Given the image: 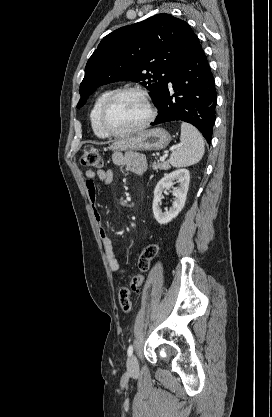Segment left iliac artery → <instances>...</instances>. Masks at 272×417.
Masks as SVG:
<instances>
[{
	"label": "left iliac artery",
	"instance_id": "44dca946",
	"mask_svg": "<svg viewBox=\"0 0 272 417\" xmlns=\"http://www.w3.org/2000/svg\"><path fill=\"white\" fill-rule=\"evenodd\" d=\"M133 353V345H129L128 350H127V354L128 356H131Z\"/></svg>",
	"mask_w": 272,
	"mask_h": 417
}]
</instances>
